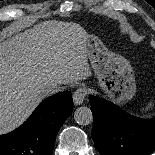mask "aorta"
Listing matches in <instances>:
<instances>
[{
  "mask_svg": "<svg viewBox=\"0 0 155 155\" xmlns=\"http://www.w3.org/2000/svg\"><path fill=\"white\" fill-rule=\"evenodd\" d=\"M74 119L79 125L86 126L93 121V115L88 107H79L74 113Z\"/></svg>",
  "mask_w": 155,
  "mask_h": 155,
  "instance_id": "762f6f07",
  "label": "aorta"
}]
</instances>
